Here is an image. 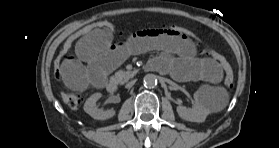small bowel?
Listing matches in <instances>:
<instances>
[{
    "instance_id": "1",
    "label": "small bowel",
    "mask_w": 279,
    "mask_h": 148,
    "mask_svg": "<svg viewBox=\"0 0 279 148\" xmlns=\"http://www.w3.org/2000/svg\"><path fill=\"white\" fill-rule=\"evenodd\" d=\"M150 50L160 51L150 60V67L169 72L177 80L218 83L222 79V69L216 61L199 57L192 42L161 29L139 30L127 40L116 43L111 32L94 30L81 37L76 43L75 55L63 61L61 79L77 91L89 86L101 87L108 73L126 59Z\"/></svg>"
}]
</instances>
